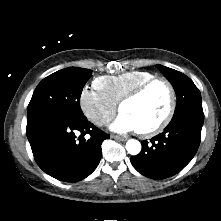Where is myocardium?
I'll list each match as a JSON object with an SVG mask.
<instances>
[{"mask_svg": "<svg viewBox=\"0 0 221 221\" xmlns=\"http://www.w3.org/2000/svg\"><path fill=\"white\" fill-rule=\"evenodd\" d=\"M156 83L163 84L167 89L169 95L168 107L164 117L156 125L144 130H138L139 134L144 137H151L162 132L171 122L176 109V92L172 83L165 77H153L128 92L119 102V110L121 111L125 103L137 99Z\"/></svg>", "mask_w": 221, "mask_h": 221, "instance_id": "obj_1", "label": "myocardium"}]
</instances>
